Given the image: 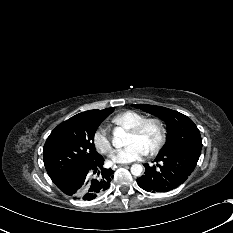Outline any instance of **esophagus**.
<instances>
[{
  "instance_id": "obj_1",
  "label": "esophagus",
  "mask_w": 233,
  "mask_h": 233,
  "mask_svg": "<svg viewBox=\"0 0 233 233\" xmlns=\"http://www.w3.org/2000/svg\"><path fill=\"white\" fill-rule=\"evenodd\" d=\"M118 166H120V167H124V166H125V164H119Z\"/></svg>"
}]
</instances>
